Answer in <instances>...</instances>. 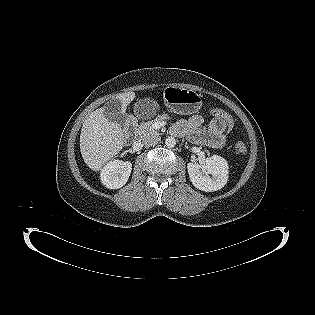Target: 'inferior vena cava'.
<instances>
[{"mask_svg": "<svg viewBox=\"0 0 315 315\" xmlns=\"http://www.w3.org/2000/svg\"><path fill=\"white\" fill-rule=\"evenodd\" d=\"M160 141H161V137L159 136V134H150L146 136L145 138H143L142 143L145 146H153V145H156Z\"/></svg>", "mask_w": 315, "mask_h": 315, "instance_id": "1", "label": "inferior vena cava"}]
</instances>
